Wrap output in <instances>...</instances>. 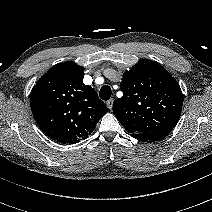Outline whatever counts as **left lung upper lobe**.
Masks as SVG:
<instances>
[{
  "mask_svg": "<svg viewBox=\"0 0 212 212\" xmlns=\"http://www.w3.org/2000/svg\"><path fill=\"white\" fill-rule=\"evenodd\" d=\"M121 98L113 102L118 121L131 134L169 133L183 103L178 82L158 63L142 59L123 75Z\"/></svg>",
  "mask_w": 212,
  "mask_h": 212,
  "instance_id": "5c2ea615",
  "label": "left lung upper lobe"
}]
</instances>
